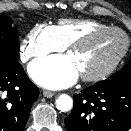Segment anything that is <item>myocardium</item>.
Listing matches in <instances>:
<instances>
[{"mask_svg": "<svg viewBox=\"0 0 131 131\" xmlns=\"http://www.w3.org/2000/svg\"><path fill=\"white\" fill-rule=\"evenodd\" d=\"M105 33H118L121 34L125 38V45L121 52L102 70L91 73V74H81V78L85 81L89 82H95V81H100L104 78H106L108 75H110L120 64L122 59L125 57L127 54L129 47H130V38L129 36L120 28L117 27H104V28H99L95 29L92 31H89L80 37L76 38L73 40L68 46L67 49L69 51H72L77 48H81L88 44L91 40H93L95 37L105 34Z\"/></svg>", "mask_w": 131, "mask_h": 131, "instance_id": "f54148a6", "label": "myocardium"}]
</instances>
